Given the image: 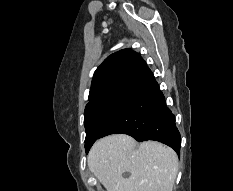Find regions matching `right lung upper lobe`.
Segmentation results:
<instances>
[{"instance_id":"obj_1","label":"right lung upper lobe","mask_w":233,"mask_h":191,"mask_svg":"<svg viewBox=\"0 0 233 191\" xmlns=\"http://www.w3.org/2000/svg\"><path fill=\"white\" fill-rule=\"evenodd\" d=\"M146 68V62L130 49L111 54L94 73L88 99L90 102L87 105L128 91Z\"/></svg>"}]
</instances>
